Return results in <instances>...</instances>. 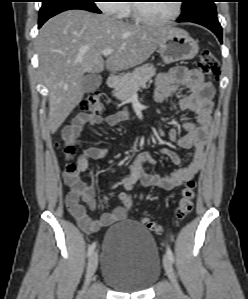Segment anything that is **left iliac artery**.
<instances>
[{
    "label": "left iliac artery",
    "instance_id": "obj_1",
    "mask_svg": "<svg viewBox=\"0 0 248 299\" xmlns=\"http://www.w3.org/2000/svg\"><path fill=\"white\" fill-rule=\"evenodd\" d=\"M167 255H168L170 261L173 262L174 261V255H173V252L170 249V247L167 248Z\"/></svg>",
    "mask_w": 248,
    "mask_h": 299
}]
</instances>
